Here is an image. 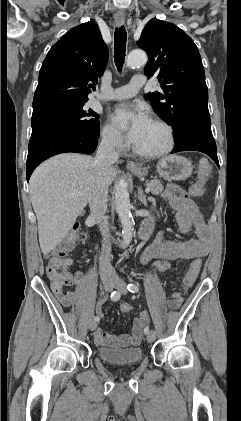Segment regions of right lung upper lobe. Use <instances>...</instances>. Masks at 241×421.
I'll list each match as a JSON object with an SVG mask.
<instances>
[{"label":"right lung upper lobe","mask_w":241,"mask_h":421,"mask_svg":"<svg viewBox=\"0 0 241 421\" xmlns=\"http://www.w3.org/2000/svg\"><path fill=\"white\" fill-rule=\"evenodd\" d=\"M108 62L98 26L83 23L55 43L42 63L33 107L50 102H87Z\"/></svg>","instance_id":"right-lung-upper-lobe-1"}]
</instances>
